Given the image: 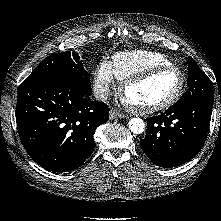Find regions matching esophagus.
Instances as JSON below:
<instances>
[{
	"instance_id": "obj_1",
	"label": "esophagus",
	"mask_w": 221,
	"mask_h": 221,
	"mask_svg": "<svg viewBox=\"0 0 221 221\" xmlns=\"http://www.w3.org/2000/svg\"><path fill=\"white\" fill-rule=\"evenodd\" d=\"M126 117H127L126 114H123V113L119 112L116 109H113V110L110 111V119L126 118Z\"/></svg>"
}]
</instances>
